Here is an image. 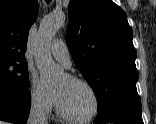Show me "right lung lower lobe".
I'll return each mask as SVG.
<instances>
[{
	"label": "right lung lower lobe",
	"mask_w": 156,
	"mask_h": 124,
	"mask_svg": "<svg viewBox=\"0 0 156 124\" xmlns=\"http://www.w3.org/2000/svg\"><path fill=\"white\" fill-rule=\"evenodd\" d=\"M31 107L30 93L0 87V120L23 124Z\"/></svg>",
	"instance_id": "right-lung-lower-lobe-1"
}]
</instances>
